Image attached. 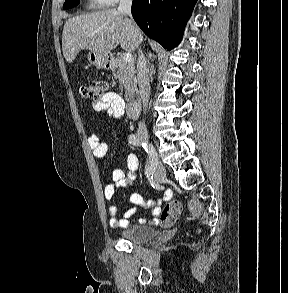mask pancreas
Returning a JSON list of instances; mask_svg holds the SVG:
<instances>
[{"mask_svg": "<svg viewBox=\"0 0 288 293\" xmlns=\"http://www.w3.org/2000/svg\"><path fill=\"white\" fill-rule=\"evenodd\" d=\"M114 73L119 79L125 99L127 101L132 100L137 91L135 64L133 62H124L122 57L118 56L114 60Z\"/></svg>", "mask_w": 288, "mask_h": 293, "instance_id": "pancreas-1", "label": "pancreas"}]
</instances>
